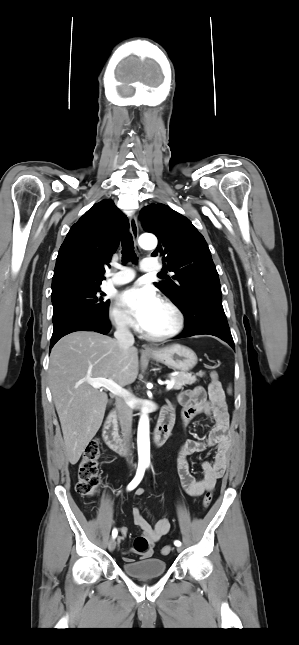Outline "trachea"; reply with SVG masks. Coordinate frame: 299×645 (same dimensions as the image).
I'll return each instance as SVG.
<instances>
[{
	"mask_svg": "<svg viewBox=\"0 0 299 645\" xmlns=\"http://www.w3.org/2000/svg\"><path fill=\"white\" fill-rule=\"evenodd\" d=\"M131 261L137 262V257L134 251V242L130 234H124L122 238V262L126 263Z\"/></svg>",
	"mask_w": 299,
	"mask_h": 645,
	"instance_id": "3493384b",
	"label": "trachea"
}]
</instances>
